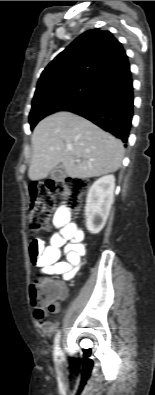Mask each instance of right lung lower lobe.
<instances>
[{
  "label": "right lung lower lobe",
  "instance_id": "98d812e1",
  "mask_svg": "<svg viewBox=\"0 0 155 395\" xmlns=\"http://www.w3.org/2000/svg\"><path fill=\"white\" fill-rule=\"evenodd\" d=\"M130 68L105 77L99 87L65 111L76 113L127 142L133 117Z\"/></svg>",
  "mask_w": 155,
  "mask_h": 395
}]
</instances>
